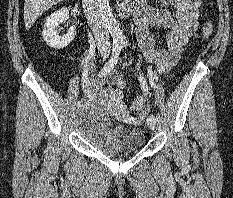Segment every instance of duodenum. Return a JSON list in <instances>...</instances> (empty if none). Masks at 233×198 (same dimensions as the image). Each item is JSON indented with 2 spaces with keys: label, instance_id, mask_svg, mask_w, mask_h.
Returning a JSON list of instances; mask_svg holds the SVG:
<instances>
[{
  "label": "duodenum",
  "instance_id": "obj_1",
  "mask_svg": "<svg viewBox=\"0 0 233 198\" xmlns=\"http://www.w3.org/2000/svg\"><path fill=\"white\" fill-rule=\"evenodd\" d=\"M144 3V0H125L121 6V13L124 17L130 16L138 10Z\"/></svg>",
  "mask_w": 233,
  "mask_h": 198
}]
</instances>
